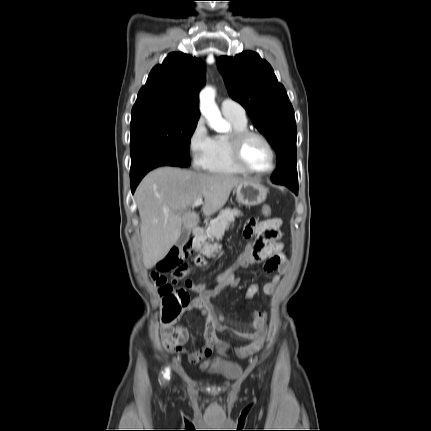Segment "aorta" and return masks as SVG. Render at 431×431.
Instances as JSON below:
<instances>
[{
  "mask_svg": "<svg viewBox=\"0 0 431 431\" xmlns=\"http://www.w3.org/2000/svg\"><path fill=\"white\" fill-rule=\"evenodd\" d=\"M215 91L210 88H204L200 93V110L208 119L209 124L218 132L228 130V124L222 119L221 114L214 102Z\"/></svg>",
  "mask_w": 431,
  "mask_h": 431,
  "instance_id": "obj_1",
  "label": "aorta"
}]
</instances>
